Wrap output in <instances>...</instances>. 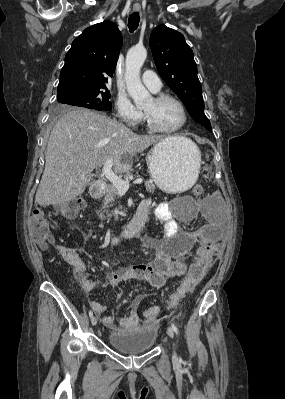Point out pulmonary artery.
<instances>
[{"instance_id":"1","label":"pulmonary artery","mask_w":285,"mask_h":399,"mask_svg":"<svg viewBox=\"0 0 285 399\" xmlns=\"http://www.w3.org/2000/svg\"><path fill=\"white\" fill-rule=\"evenodd\" d=\"M142 80L152 92H158L162 87L160 78L150 70L143 73Z\"/></svg>"}]
</instances>
